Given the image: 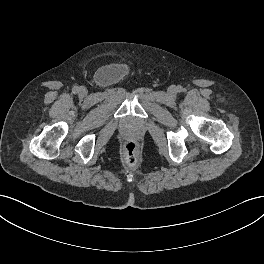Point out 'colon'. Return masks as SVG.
<instances>
[{"mask_svg": "<svg viewBox=\"0 0 264 264\" xmlns=\"http://www.w3.org/2000/svg\"><path fill=\"white\" fill-rule=\"evenodd\" d=\"M124 154L126 162L129 165H134L138 158V146L134 141H129L124 146Z\"/></svg>", "mask_w": 264, "mask_h": 264, "instance_id": "colon-1", "label": "colon"}]
</instances>
